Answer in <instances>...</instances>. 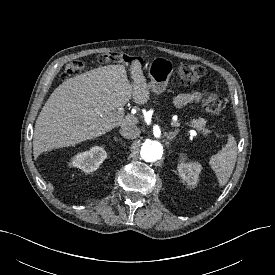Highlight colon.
<instances>
[{"label": "colon", "mask_w": 275, "mask_h": 275, "mask_svg": "<svg viewBox=\"0 0 275 275\" xmlns=\"http://www.w3.org/2000/svg\"><path fill=\"white\" fill-rule=\"evenodd\" d=\"M97 61L101 64L106 63H127L132 61V57L116 51H110L100 54ZM82 63L80 61H73L69 63L64 71L63 77H70L80 73L82 70ZM205 74V69L197 64H181L177 67V75L180 81L184 84H190L201 79ZM203 107L206 112L218 115L223 109V101L221 97L213 91H206L203 96Z\"/></svg>", "instance_id": "obj_1"}]
</instances>
